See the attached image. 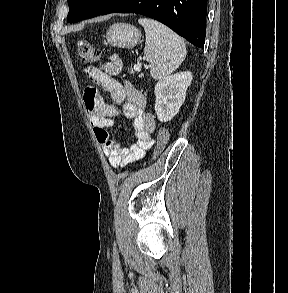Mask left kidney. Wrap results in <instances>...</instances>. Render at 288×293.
Instances as JSON below:
<instances>
[{
  "label": "left kidney",
  "mask_w": 288,
  "mask_h": 293,
  "mask_svg": "<svg viewBox=\"0 0 288 293\" xmlns=\"http://www.w3.org/2000/svg\"><path fill=\"white\" fill-rule=\"evenodd\" d=\"M192 78L191 72H180L164 77L155 85V112L161 122L170 121L178 113Z\"/></svg>",
  "instance_id": "5707ae66"
}]
</instances>
